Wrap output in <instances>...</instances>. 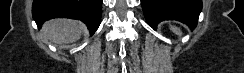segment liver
<instances>
[{"instance_id":"obj_1","label":"liver","mask_w":244,"mask_h":73,"mask_svg":"<svg viewBox=\"0 0 244 73\" xmlns=\"http://www.w3.org/2000/svg\"><path fill=\"white\" fill-rule=\"evenodd\" d=\"M84 29L81 22L71 19H54L43 26L44 34L58 44L77 41Z\"/></svg>"}]
</instances>
